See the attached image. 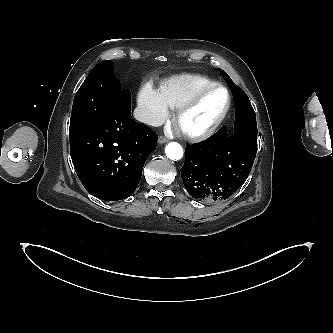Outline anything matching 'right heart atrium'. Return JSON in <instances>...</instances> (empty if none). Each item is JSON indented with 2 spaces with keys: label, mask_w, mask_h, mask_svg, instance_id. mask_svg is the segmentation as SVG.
<instances>
[{
  "label": "right heart atrium",
  "mask_w": 333,
  "mask_h": 333,
  "mask_svg": "<svg viewBox=\"0 0 333 333\" xmlns=\"http://www.w3.org/2000/svg\"><path fill=\"white\" fill-rule=\"evenodd\" d=\"M141 120L151 126H157L165 121L169 115V108L160 92L151 85H145L138 96Z\"/></svg>",
  "instance_id": "right-heart-atrium-1"
}]
</instances>
